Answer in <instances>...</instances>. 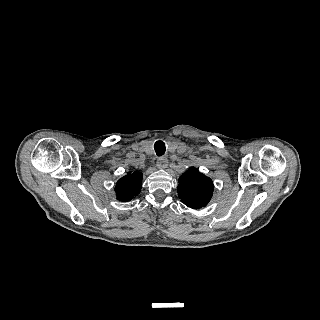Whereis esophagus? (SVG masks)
<instances>
[{"label": "esophagus", "instance_id": "1", "mask_svg": "<svg viewBox=\"0 0 320 320\" xmlns=\"http://www.w3.org/2000/svg\"><path fill=\"white\" fill-rule=\"evenodd\" d=\"M168 159L166 157H160L157 161V167L160 169H166L168 167Z\"/></svg>", "mask_w": 320, "mask_h": 320}]
</instances>
